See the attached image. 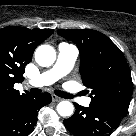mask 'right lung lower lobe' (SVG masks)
Returning <instances> with one entry per match:
<instances>
[{
	"mask_svg": "<svg viewBox=\"0 0 136 136\" xmlns=\"http://www.w3.org/2000/svg\"><path fill=\"white\" fill-rule=\"evenodd\" d=\"M51 102L49 93L28 95L0 112V136H27L37 122L38 110Z\"/></svg>",
	"mask_w": 136,
	"mask_h": 136,
	"instance_id": "obj_1",
	"label": "right lung lower lobe"
}]
</instances>
